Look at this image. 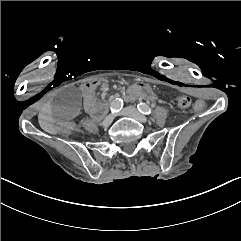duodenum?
<instances>
[{
    "label": "duodenum",
    "instance_id": "1",
    "mask_svg": "<svg viewBox=\"0 0 241 241\" xmlns=\"http://www.w3.org/2000/svg\"><path fill=\"white\" fill-rule=\"evenodd\" d=\"M103 107L101 106V107H99V108H97L96 109V111H95V113H94V116L95 117H100L101 115H102V113H103Z\"/></svg>",
    "mask_w": 241,
    "mask_h": 241
}]
</instances>
